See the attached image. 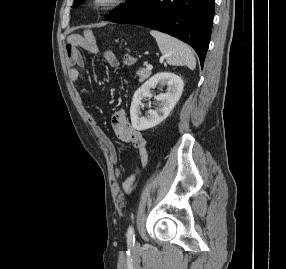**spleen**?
Returning <instances> with one entry per match:
<instances>
[{"label": "spleen", "mask_w": 286, "mask_h": 269, "mask_svg": "<svg viewBox=\"0 0 286 269\" xmlns=\"http://www.w3.org/2000/svg\"><path fill=\"white\" fill-rule=\"evenodd\" d=\"M150 34L156 39L158 47L169 65H186L191 70L195 69L196 59L188 45L159 31L151 30Z\"/></svg>", "instance_id": "3e777b00"}]
</instances>
